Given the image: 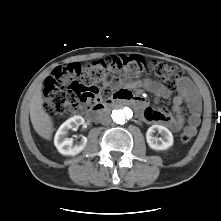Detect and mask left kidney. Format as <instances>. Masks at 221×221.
Masks as SVG:
<instances>
[{"label":"left kidney","mask_w":221,"mask_h":221,"mask_svg":"<svg viewBox=\"0 0 221 221\" xmlns=\"http://www.w3.org/2000/svg\"><path fill=\"white\" fill-rule=\"evenodd\" d=\"M159 132L162 138H156L154 136L155 132ZM146 140L148 145L154 150H166L173 145V135L164 126L152 125L146 132Z\"/></svg>","instance_id":"1"}]
</instances>
